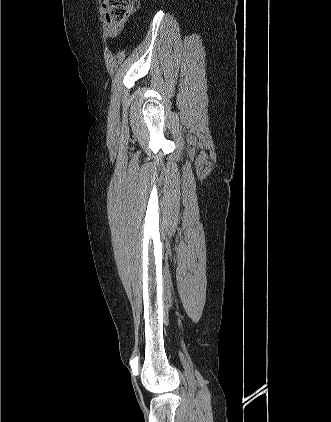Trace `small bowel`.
Here are the masks:
<instances>
[{"label":"small bowel","instance_id":"obj_1","mask_svg":"<svg viewBox=\"0 0 331 422\" xmlns=\"http://www.w3.org/2000/svg\"><path fill=\"white\" fill-rule=\"evenodd\" d=\"M102 6H103L104 14L106 16L107 35L110 36V37H117L123 31L124 26H123V24L116 23V22L111 20V18L109 16V10H108L107 4H106V0H104Z\"/></svg>","mask_w":331,"mask_h":422}]
</instances>
